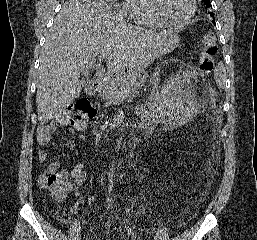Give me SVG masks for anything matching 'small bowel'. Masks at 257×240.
Listing matches in <instances>:
<instances>
[{"label":"small bowel","instance_id":"1","mask_svg":"<svg viewBox=\"0 0 257 240\" xmlns=\"http://www.w3.org/2000/svg\"><path fill=\"white\" fill-rule=\"evenodd\" d=\"M52 138V131L50 129L41 128L38 132V143L40 145H46L50 142ZM38 158L41 162L45 161L47 158V153L44 150L39 151ZM59 169L58 162H51L47 168L48 172H54ZM70 178L72 180L71 188L72 190H78L84 183L86 175L84 171V165L82 163L77 164L70 172Z\"/></svg>","mask_w":257,"mask_h":240}]
</instances>
